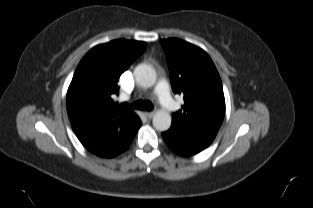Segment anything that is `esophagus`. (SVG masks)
Instances as JSON below:
<instances>
[{
  "label": "esophagus",
  "mask_w": 313,
  "mask_h": 208,
  "mask_svg": "<svg viewBox=\"0 0 313 208\" xmlns=\"http://www.w3.org/2000/svg\"><path fill=\"white\" fill-rule=\"evenodd\" d=\"M154 115H155V112H154V111H152V112H145V116H146L148 119H152Z\"/></svg>",
  "instance_id": "esophagus-1"
}]
</instances>
